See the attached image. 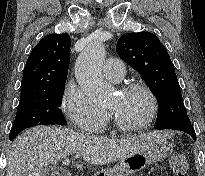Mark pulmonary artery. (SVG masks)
I'll return each mask as SVG.
<instances>
[{
	"label": "pulmonary artery",
	"instance_id": "e3ab8cb5",
	"mask_svg": "<svg viewBox=\"0 0 205 176\" xmlns=\"http://www.w3.org/2000/svg\"><path fill=\"white\" fill-rule=\"evenodd\" d=\"M103 74L111 82L121 81L125 74L123 62L116 58H108L103 65Z\"/></svg>",
	"mask_w": 205,
	"mask_h": 176
}]
</instances>
